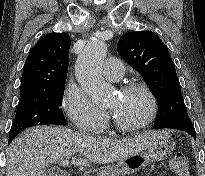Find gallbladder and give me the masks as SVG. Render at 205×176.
Returning <instances> with one entry per match:
<instances>
[{"label": "gallbladder", "instance_id": "1", "mask_svg": "<svg viewBox=\"0 0 205 176\" xmlns=\"http://www.w3.org/2000/svg\"><path fill=\"white\" fill-rule=\"evenodd\" d=\"M54 170L52 168L47 169V176H53Z\"/></svg>", "mask_w": 205, "mask_h": 176}]
</instances>
